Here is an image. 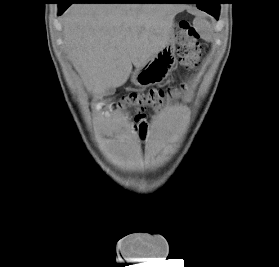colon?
<instances>
[{"mask_svg": "<svg viewBox=\"0 0 279 267\" xmlns=\"http://www.w3.org/2000/svg\"><path fill=\"white\" fill-rule=\"evenodd\" d=\"M177 49L180 63L189 69L197 67L201 62V46L199 34L193 24L187 20L180 22L177 33ZM176 89H151L147 92H131L124 96L115 107H131L136 110L135 118L145 116L147 108L159 109L167 97Z\"/></svg>", "mask_w": 279, "mask_h": 267, "instance_id": "obj_1", "label": "colon"}]
</instances>
